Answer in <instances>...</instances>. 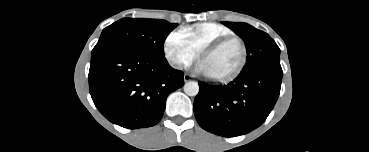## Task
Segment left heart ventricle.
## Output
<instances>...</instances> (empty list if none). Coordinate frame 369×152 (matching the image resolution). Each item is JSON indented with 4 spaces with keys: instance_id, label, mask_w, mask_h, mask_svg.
Here are the masks:
<instances>
[{
    "instance_id": "obj_1",
    "label": "left heart ventricle",
    "mask_w": 369,
    "mask_h": 152,
    "mask_svg": "<svg viewBox=\"0 0 369 152\" xmlns=\"http://www.w3.org/2000/svg\"><path fill=\"white\" fill-rule=\"evenodd\" d=\"M241 60L238 43L229 42L219 49L207 53L201 59L207 76H223L232 72Z\"/></svg>"
}]
</instances>
